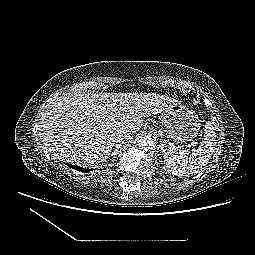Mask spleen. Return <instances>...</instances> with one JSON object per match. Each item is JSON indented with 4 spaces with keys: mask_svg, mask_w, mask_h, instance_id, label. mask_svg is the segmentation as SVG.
Masks as SVG:
<instances>
[{
    "mask_svg": "<svg viewBox=\"0 0 255 255\" xmlns=\"http://www.w3.org/2000/svg\"><path fill=\"white\" fill-rule=\"evenodd\" d=\"M216 145V133L213 123L205 125L204 139L197 150L170 148L165 154L166 168L176 176L198 173L208 163Z\"/></svg>",
    "mask_w": 255,
    "mask_h": 255,
    "instance_id": "3e777b00",
    "label": "spleen"
}]
</instances>
